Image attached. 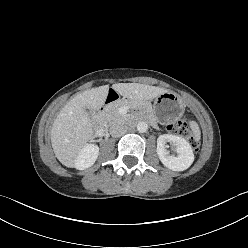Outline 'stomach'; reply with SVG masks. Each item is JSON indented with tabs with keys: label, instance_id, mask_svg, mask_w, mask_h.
<instances>
[{
	"label": "stomach",
	"instance_id": "1",
	"mask_svg": "<svg viewBox=\"0 0 248 248\" xmlns=\"http://www.w3.org/2000/svg\"><path fill=\"white\" fill-rule=\"evenodd\" d=\"M148 111L162 123H171L178 119L183 111L182 99L173 92H164L157 96Z\"/></svg>",
	"mask_w": 248,
	"mask_h": 248
}]
</instances>
